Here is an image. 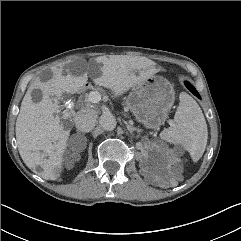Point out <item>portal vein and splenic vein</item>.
I'll list each match as a JSON object with an SVG mask.
<instances>
[{
	"instance_id": "portal-vein-and-splenic-vein-1",
	"label": "portal vein and splenic vein",
	"mask_w": 241,
	"mask_h": 241,
	"mask_svg": "<svg viewBox=\"0 0 241 241\" xmlns=\"http://www.w3.org/2000/svg\"><path fill=\"white\" fill-rule=\"evenodd\" d=\"M101 100V95L97 91H92L89 93L88 101L91 103H98ZM172 125V123H170Z\"/></svg>"
}]
</instances>
